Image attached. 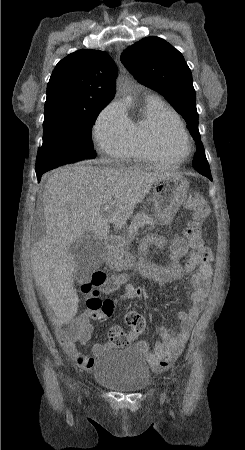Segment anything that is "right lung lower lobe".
<instances>
[{
    "mask_svg": "<svg viewBox=\"0 0 245 450\" xmlns=\"http://www.w3.org/2000/svg\"><path fill=\"white\" fill-rule=\"evenodd\" d=\"M44 172H46V171H39V172H36L38 181H40L41 176H42V174H43Z\"/></svg>",
    "mask_w": 245,
    "mask_h": 450,
    "instance_id": "98d812e1",
    "label": "right lung lower lobe"
}]
</instances>
